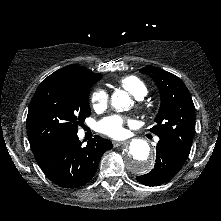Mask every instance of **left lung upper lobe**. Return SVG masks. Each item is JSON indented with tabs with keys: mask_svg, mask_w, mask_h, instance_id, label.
Wrapping results in <instances>:
<instances>
[{
	"mask_svg": "<svg viewBox=\"0 0 221 221\" xmlns=\"http://www.w3.org/2000/svg\"><path fill=\"white\" fill-rule=\"evenodd\" d=\"M155 81L161 105L151 132L188 158L195 133V107L185 84L175 75L154 66L140 70Z\"/></svg>",
	"mask_w": 221,
	"mask_h": 221,
	"instance_id": "1",
	"label": "left lung upper lobe"
}]
</instances>
